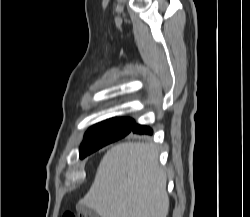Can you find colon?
Listing matches in <instances>:
<instances>
[{"instance_id":"colon-1","label":"colon","mask_w":250,"mask_h":217,"mask_svg":"<svg viewBox=\"0 0 250 217\" xmlns=\"http://www.w3.org/2000/svg\"><path fill=\"white\" fill-rule=\"evenodd\" d=\"M63 217H87V216L77 211H68L63 215Z\"/></svg>"}]
</instances>
